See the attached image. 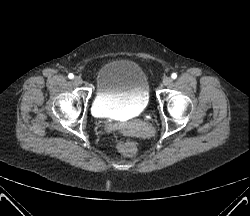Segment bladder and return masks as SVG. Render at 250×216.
Masks as SVG:
<instances>
[{"mask_svg": "<svg viewBox=\"0 0 250 216\" xmlns=\"http://www.w3.org/2000/svg\"><path fill=\"white\" fill-rule=\"evenodd\" d=\"M149 102V83L141 67L129 60L104 64L96 75L93 111L101 117L134 115Z\"/></svg>", "mask_w": 250, "mask_h": 216, "instance_id": "bladder-1", "label": "bladder"}]
</instances>
